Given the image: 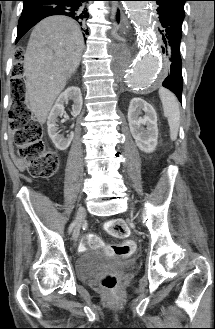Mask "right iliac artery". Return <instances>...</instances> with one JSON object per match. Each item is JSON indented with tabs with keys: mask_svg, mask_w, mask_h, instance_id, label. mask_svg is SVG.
I'll return each mask as SVG.
<instances>
[{
	"mask_svg": "<svg viewBox=\"0 0 215 329\" xmlns=\"http://www.w3.org/2000/svg\"><path fill=\"white\" fill-rule=\"evenodd\" d=\"M74 226H75V222H73V223L71 224V226H70V228H69V232L72 231V229H73Z\"/></svg>",
	"mask_w": 215,
	"mask_h": 329,
	"instance_id": "obj_1",
	"label": "right iliac artery"
}]
</instances>
